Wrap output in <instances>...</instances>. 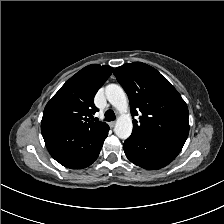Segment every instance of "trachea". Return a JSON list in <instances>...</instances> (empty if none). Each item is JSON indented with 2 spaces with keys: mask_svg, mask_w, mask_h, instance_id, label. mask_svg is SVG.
I'll return each mask as SVG.
<instances>
[{
  "mask_svg": "<svg viewBox=\"0 0 224 224\" xmlns=\"http://www.w3.org/2000/svg\"><path fill=\"white\" fill-rule=\"evenodd\" d=\"M116 119L115 113L112 110L105 112V121H113Z\"/></svg>",
  "mask_w": 224,
  "mask_h": 224,
  "instance_id": "3493384b",
  "label": "trachea"
}]
</instances>
